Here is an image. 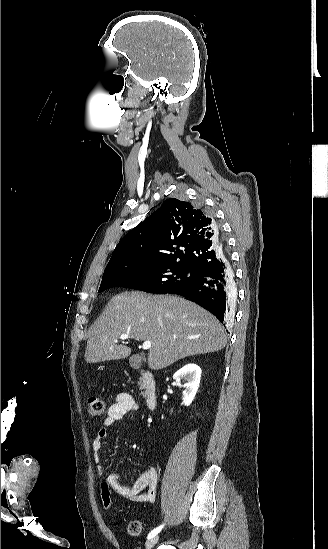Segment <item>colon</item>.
Masks as SVG:
<instances>
[{
    "mask_svg": "<svg viewBox=\"0 0 328 549\" xmlns=\"http://www.w3.org/2000/svg\"><path fill=\"white\" fill-rule=\"evenodd\" d=\"M88 405H89V412L93 416H100L106 410V404L104 400L97 395L90 396L88 400ZM100 496H101V502H102L103 508L106 510L111 509L113 507V502H112L109 487L106 483H103L101 486ZM142 531H143V525L141 521L133 520L129 523L128 532L130 535L139 536L141 535Z\"/></svg>",
    "mask_w": 328,
    "mask_h": 549,
    "instance_id": "1",
    "label": "colon"
}]
</instances>
